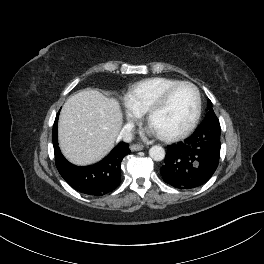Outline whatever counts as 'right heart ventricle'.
Returning <instances> with one entry per match:
<instances>
[{"label":"right heart ventricle","mask_w":264,"mask_h":264,"mask_svg":"<svg viewBox=\"0 0 264 264\" xmlns=\"http://www.w3.org/2000/svg\"><path fill=\"white\" fill-rule=\"evenodd\" d=\"M178 81L170 77H151L141 80L129 88L125 101L132 110L145 113L167 87Z\"/></svg>","instance_id":"e07e8e85"}]
</instances>
